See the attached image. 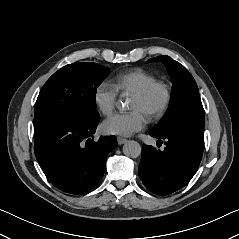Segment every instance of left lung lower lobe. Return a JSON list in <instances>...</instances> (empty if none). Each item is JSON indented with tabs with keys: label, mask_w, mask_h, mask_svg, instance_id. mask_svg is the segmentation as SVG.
<instances>
[{
	"label": "left lung lower lobe",
	"mask_w": 239,
	"mask_h": 239,
	"mask_svg": "<svg viewBox=\"0 0 239 239\" xmlns=\"http://www.w3.org/2000/svg\"><path fill=\"white\" fill-rule=\"evenodd\" d=\"M205 125L189 123L165 135H154L160 147L143 146L139 177L151 192L167 195L184 187L196 173L204 149Z\"/></svg>",
	"instance_id": "obj_1"
}]
</instances>
